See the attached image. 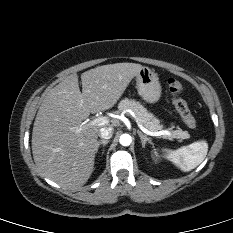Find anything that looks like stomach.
<instances>
[{"mask_svg": "<svg viewBox=\"0 0 233 233\" xmlns=\"http://www.w3.org/2000/svg\"><path fill=\"white\" fill-rule=\"evenodd\" d=\"M136 87L139 96L147 103H156L161 97L159 78L148 67H143L136 75Z\"/></svg>", "mask_w": 233, "mask_h": 233, "instance_id": "stomach-1", "label": "stomach"}]
</instances>
